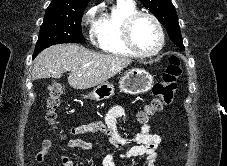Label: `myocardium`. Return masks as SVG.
Instances as JSON below:
<instances>
[{
    "label": "myocardium",
    "instance_id": "myocardium-1",
    "mask_svg": "<svg viewBox=\"0 0 227 166\" xmlns=\"http://www.w3.org/2000/svg\"><path fill=\"white\" fill-rule=\"evenodd\" d=\"M141 17H147L149 18L155 25L159 40L156 48L152 51L146 52L141 50L134 42L133 39V26L137 22V20ZM122 37L125 45L128 47V49L133 52L136 56L139 57H152L160 53V51L163 49L164 42H165V37H164V31L162 28V25L158 18L149 13V12H142V11H137L131 15H129L122 26Z\"/></svg>",
    "mask_w": 227,
    "mask_h": 166
}]
</instances>
